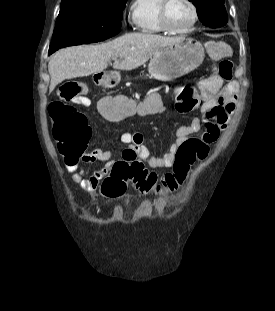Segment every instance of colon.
<instances>
[{
	"label": "colon",
	"mask_w": 275,
	"mask_h": 311,
	"mask_svg": "<svg viewBox=\"0 0 275 311\" xmlns=\"http://www.w3.org/2000/svg\"><path fill=\"white\" fill-rule=\"evenodd\" d=\"M208 51L214 60H220L218 73L225 79L232 78L233 64L225 59L228 46L219 41L209 42ZM193 87L180 88L176 91V99H190L197 101ZM58 94L60 101L53 102L49 107L52 119L53 136L58 142L60 154L68 159H77L86 149L90 129L86 116L77 109L67 105L90 104L86 87L76 81L63 84ZM150 97L143 101L142 97H101L99 101V113L113 121L114 125H123L124 121H133L134 117H156L162 111L161 92H150ZM214 136H206L205 139L192 138L179 147L174 161L173 169L167 172L161 180L155 171L149 170L138 161L116 162L109 175L101 183L100 197L117 198L123 196L131 185L143 193L162 194L176 191L187 181L191 167L196 162L204 161L209 154L208 144L214 141Z\"/></svg>",
	"instance_id": "5ec220e1"
}]
</instances>
